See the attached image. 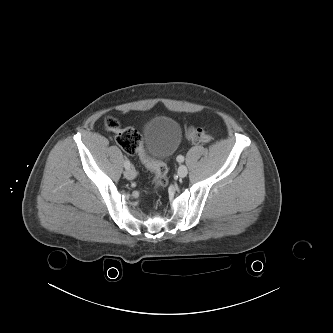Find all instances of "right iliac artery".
Listing matches in <instances>:
<instances>
[{
  "label": "right iliac artery",
  "mask_w": 333,
  "mask_h": 333,
  "mask_svg": "<svg viewBox=\"0 0 333 333\" xmlns=\"http://www.w3.org/2000/svg\"><path fill=\"white\" fill-rule=\"evenodd\" d=\"M130 165H131V164H130V161L126 159V160L124 161V167H125L126 169H129V168H130Z\"/></svg>",
  "instance_id": "right-iliac-artery-1"
}]
</instances>
